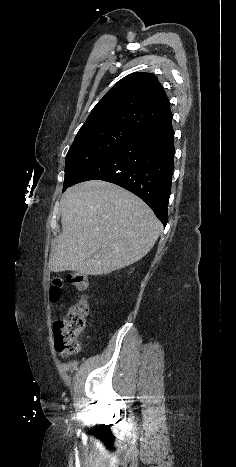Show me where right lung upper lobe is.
<instances>
[{"instance_id":"right-lung-upper-lobe-1","label":"right lung upper lobe","mask_w":236,"mask_h":467,"mask_svg":"<svg viewBox=\"0 0 236 467\" xmlns=\"http://www.w3.org/2000/svg\"><path fill=\"white\" fill-rule=\"evenodd\" d=\"M171 115L167 95L155 75L132 73L104 95L79 132L103 125H120L139 132Z\"/></svg>"}]
</instances>
